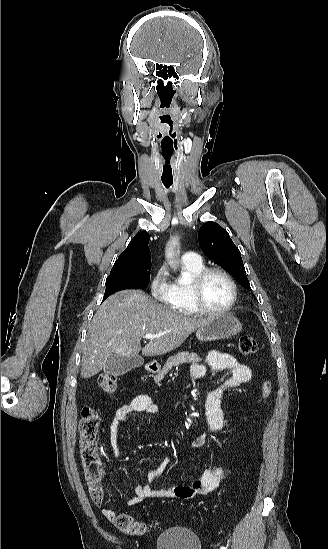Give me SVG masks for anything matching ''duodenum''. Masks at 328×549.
Returning <instances> with one entry per match:
<instances>
[{"label":"duodenum","mask_w":328,"mask_h":549,"mask_svg":"<svg viewBox=\"0 0 328 549\" xmlns=\"http://www.w3.org/2000/svg\"><path fill=\"white\" fill-rule=\"evenodd\" d=\"M146 369H147V371L150 372V373H154V372L156 371V367H155V365H153V364L147 365Z\"/></svg>","instance_id":"obj_1"}]
</instances>
